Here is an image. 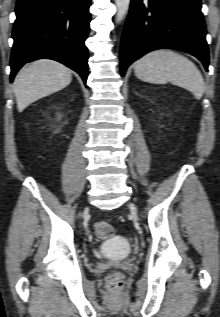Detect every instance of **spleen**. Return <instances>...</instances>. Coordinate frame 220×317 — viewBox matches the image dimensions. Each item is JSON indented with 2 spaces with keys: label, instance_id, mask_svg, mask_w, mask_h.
I'll list each match as a JSON object with an SVG mask.
<instances>
[{
  "label": "spleen",
  "instance_id": "obj_1",
  "mask_svg": "<svg viewBox=\"0 0 220 317\" xmlns=\"http://www.w3.org/2000/svg\"><path fill=\"white\" fill-rule=\"evenodd\" d=\"M135 76L145 82L166 84L185 88L197 99L205 91L203 77L187 57L168 49L151 51L134 64Z\"/></svg>",
  "mask_w": 220,
  "mask_h": 317
}]
</instances>
